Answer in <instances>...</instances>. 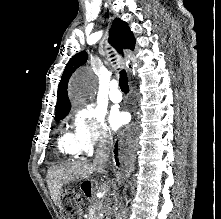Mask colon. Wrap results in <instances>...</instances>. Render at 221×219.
Returning <instances> with one entry per match:
<instances>
[{"mask_svg":"<svg viewBox=\"0 0 221 219\" xmlns=\"http://www.w3.org/2000/svg\"><path fill=\"white\" fill-rule=\"evenodd\" d=\"M80 199L75 192H66L63 195V207L68 219H77L79 214Z\"/></svg>","mask_w":221,"mask_h":219,"instance_id":"5ec220e1","label":"colon"}]
</instances>
